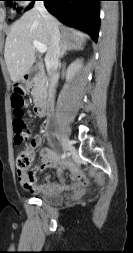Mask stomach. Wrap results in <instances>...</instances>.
I'll list each match as a JSON object with an SVG mask.
<instances>
[{
    "label": "stomach",
    "mask_w": 133,
    "mask_h": 253,
    "mask_svg": "<svg viewBox=\"0 0 133 253\" xmlns=\"http://www.w3.org/2000/svg\"><path fill=\"white\" fill-rule=\"evenodd\" d=\"M21 84H22L24 87H27V84H26L24 81H21Z\"/></svg>",
    "instance_id": "0dacf381"
}]
</instances>
